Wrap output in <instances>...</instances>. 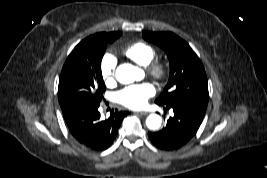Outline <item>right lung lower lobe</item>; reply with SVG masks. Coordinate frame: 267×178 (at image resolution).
<instances>
[{
  "label": "right lung lower lobe",
  "mask_w": 267,
  "mask_h": 178,
  "mask_svg": "<svg viewBox=\"0 0 267 178\" xmlns=\"http://www.w3.org/2000/svg\"><path fill=\"white\" fill-rule=\"evenodd\" d=\"M99 105L82 100L60 105L70 134L81 146L94 151L105 150L112 145L127 115L116 109L111 110L109 118L101 120Z\"/></svg>",
  "instance_id": "1"
}]
</instances>
